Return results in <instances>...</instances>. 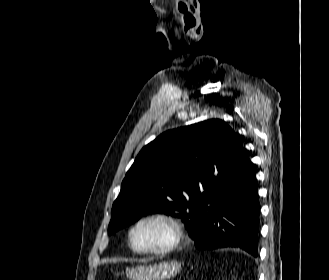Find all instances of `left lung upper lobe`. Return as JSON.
<instances>
[{
    "label": "left lung upper lobe",
    "mask_w": 329,
    "mask_h": 280,
    "mask_svg": "<svg viewBox=\"0 0 329 280\" xmlns=\"http://www.w3.org/2000/svg\"><path fill=\"white\" fill-rule=\"evenodd\" d=\"M242 148L238 135L219 119L161 134L140 151L127 172L108 233L154 212L181 217L195 235L203 201L233 179Z\"/></svg>",
    "instance_id": "left-lung-upper-lobe-1"
}]
</instances>
